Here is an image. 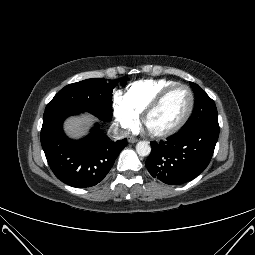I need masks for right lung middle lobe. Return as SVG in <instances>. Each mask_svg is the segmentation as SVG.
I'll use <instances>...</instances> for the list:
<instances>
[{"label": "right lung middle lobe", "mask_w": 255, "mask_h": 255, "mask_svg": "<svg viewBox=\"0 0 255 255\" xmlns=\"http://www.w3.org/2000/svg\"><path fill=\"white\" fill-rule=\"evenodd\" d=\"M116 81L92 78L69 84L60 90L46 106L45 112L73 109L94 114L103 121L112 118L111 98Z\"/></svg>", "instance_id": "1"}]
</instances>
